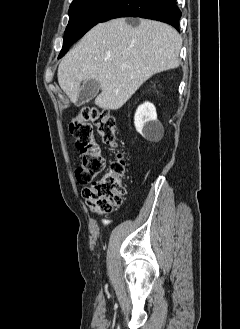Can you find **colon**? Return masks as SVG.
<instances>
[{
  "instance_id": "colon-1",
  "label": "colon",
  "mask_w": 240,
  "mask_h": 329,
  "mask_svg": "<svg viewBox=\"0 0 240 329\" xmlns=\"http://www.w3.org/2000/svg\"><path fill=\"white\" fill-rule=\"evenodd\" d=\"M91 123L96 125L97 132L105 144L117 148L116 117L106 108L85 106L70 123V132L80 156V165L75 172L76 179L81 184L91 183L84 191L83 197L93 212L105 215L120 207L123 202L126 162L122 157H118L106 172L97 178L104 169V160L98 144L93 139Z\"/></svg>"
}]
</instances>
